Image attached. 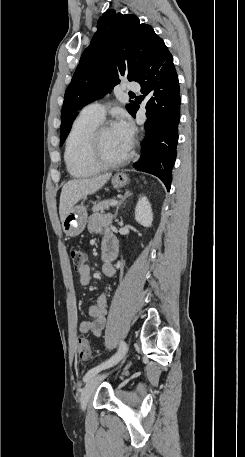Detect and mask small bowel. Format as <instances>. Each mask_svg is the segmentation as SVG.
<instances>
[{
    "label": "small bowel",
    "mask_w": 245,
    "mask_h": 457,
    "mask_svg": "<svg viewBox=\"0 0 245 457\" xmlns=\"http://www.w3.org/2000/svg\"><path fill=\"white\" fill-rule=\"evenodd\" d=\"M111 216L103 213H94L88 219L87 227L89 231L101 236V250L103 266L102 271L106 276L112 277L116 274V268L113 265L118 252L117 241L111 228ZM79 282L87 286L91 281V270L88 264H84L79 270ZM89 320L79 323L78 328L81 333H92L100 336L106 323L107 316V297L101 293L94 303L89 307Z\"/></svg>",
    "instance_id": "small-bowel-1"
}]
</instances>
